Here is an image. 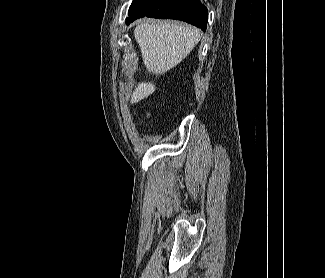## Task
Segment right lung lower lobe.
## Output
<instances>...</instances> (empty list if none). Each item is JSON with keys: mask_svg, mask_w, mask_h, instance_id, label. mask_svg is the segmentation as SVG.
<instances>
[{"mask_svg": "<svg viewBox=\"0 0 325 278\" xmlns=\"http://www.w3.org/2000/svg\"><path fill=\"white\" fill-rule=\"evenodd\" d=\"M207 13L206 7L199 0H136L127 24L147 16L185 21L205 31Z\"/></svg>", "mask_w": 325, "mask_h": 278, "instance_id": "98d812e1", "label": "right lung lower lobe"}]
</instances>
